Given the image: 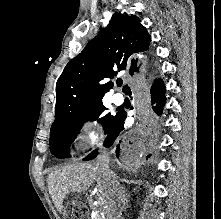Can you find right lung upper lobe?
Wrapping results in <instances>:
<instances>
[{"mask_svg": "<svg viewBox=\"0 0 221 219\" xmlns=\"http://www.w3.org/2000/svg\"><path fill=\"white\" fill-rule=\"evenodd\" d=\"M150 40L137 16L114 13L107 28L66 65L58 78L55 120L83 105L102 101L113 83L99 81L112 79L121 70L139 73L141 63L137 54L149 48Z\"/></svg>", "mask_w": 221, "mask_h": 219, "instance_id": "1", "label": "right lung upper lobe"}]
</instances>
